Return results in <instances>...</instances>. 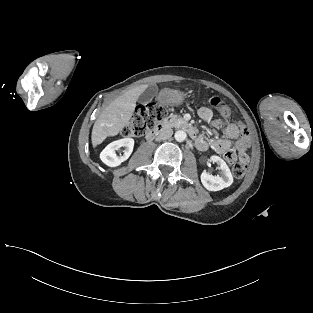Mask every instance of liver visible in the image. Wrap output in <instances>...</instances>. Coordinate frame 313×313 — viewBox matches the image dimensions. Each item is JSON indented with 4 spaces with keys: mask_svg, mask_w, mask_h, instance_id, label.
<instances>
[{
    "mask_svg": "<svg viewBox=\"0 0 313 313\" xmlns=\"http://www.w3.org/2000/svg\"><path fill=\"white\" fill-rule=\"evenodd\" d=\"M148 85H140L123 93L102 111L95 121L91 141L93 147L101 144L108 136L117 135L131 119L139 96Z\"/></svg>",
    "mask_w": 313,
    "mask_h": 313,
    "instance_id": "1",
    "label": "liver"
}]
</instances>
